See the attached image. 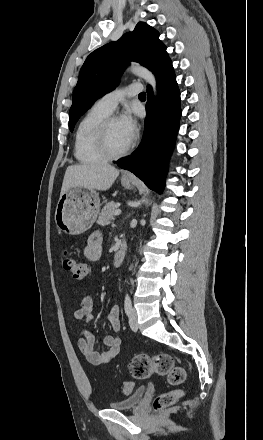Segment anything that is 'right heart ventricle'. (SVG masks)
<instances>
[{
    "label": "right heart ventricle",
    "mask_w": 263,
    "mask_h": 440,
    "mask_svg": "<svg viewBox=\"0 0 263 440\" xmlns=\"http://www.w3.org/2000/svg\"><path fill=\"white\" fill-rule=\"evenodd\" d=\"M110 112L94 104L80 120L74 138V156L80 163L91 164L106 160L98 151L95 142L99 123Z\"/></svg>",
    "instance_id": "obj_1"
}]
</instances>
